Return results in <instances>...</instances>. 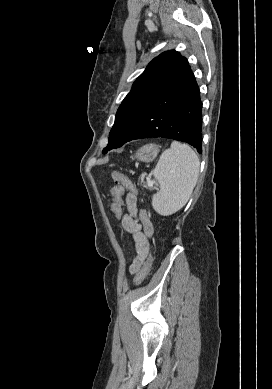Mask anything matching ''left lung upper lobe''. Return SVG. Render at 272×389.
<instances>
[{"instance_id": "1", "label": "left lung upper lobe", "mask_w": 272, "mask_h": 389, "mask_svg": "<svg viewBox=\"0 0 272 389\" xmlns=\"http://www.w3.org/2000/svg\"><path fill=\"white\" fill-rule=\"evenodd\" d=\"M188 61L174 50L155 57L136 79L117 110L103 153L121 147L143 118L151 100L184 68Z\"/></svg>"}]
</instances>
